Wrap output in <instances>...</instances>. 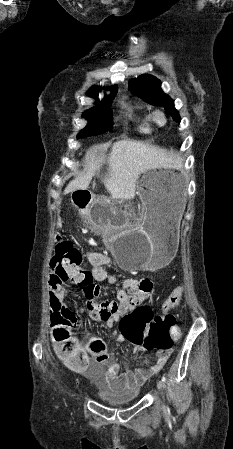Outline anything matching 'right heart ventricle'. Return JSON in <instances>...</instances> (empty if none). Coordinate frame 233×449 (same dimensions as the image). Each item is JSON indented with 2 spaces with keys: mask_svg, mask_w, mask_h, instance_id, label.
<instances>
[{
  "mask_svg": "<svg viewBox=\"0 0 233 449\" xmlns=\"http://www.w3.org/2000/svg\"><path fill=\"white\" fill-rule=\"evenodd\" d=\"M130 118L136 124L137 130L140 133L148 134L153 130V123L149 112L146 109L139 107L132 101L125 105Z\"/></svg>",
  "mask_w": 233,
  "mask_h": 449,
  "instance_id": "1",
  "label": "right heart ventricle"
}]
</instances>
